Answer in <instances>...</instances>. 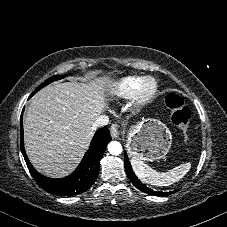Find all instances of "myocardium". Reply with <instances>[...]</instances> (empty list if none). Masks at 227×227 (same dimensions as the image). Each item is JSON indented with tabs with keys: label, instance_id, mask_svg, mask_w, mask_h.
Returning a JSON list of instances; mask_svg holds the SVG:
<instances>
[{
	"label": "myocardium",
	"instance_id": "obj_1",
	"mask_svg": "<svg viewBox=\"0 0 227 227\" xmlns=\"http://www.w3.org/2000/svg\"><path fill=\"white\" fill-rule=\"evenodd\" d=\"M156 94L157 84L155 80L150 77L142 78L133 95V109L141 110L154 99Z\"/></svg>",
	"mask_w": 227,
	"mask_h": 227
}]
</instances>
